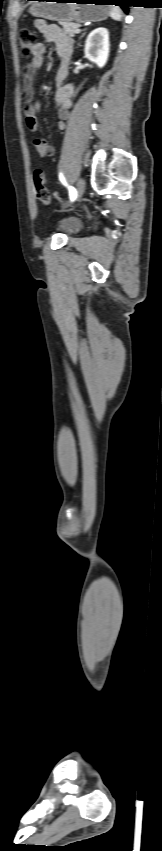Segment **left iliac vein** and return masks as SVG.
<instances>
[{"instance_id": "obj_1", "label": "left iliac vein", "mask_w": 162, "mask_h": 851, "mask_svg": "<svg viewBox=\"0 0 162 851\" xmlns=\"http://www.w3.org/2000/svg\"><path fill=\"white\" fill-rule=\"evenodd\" d=\"M76 191L78 200L83 196L85 192V182L82 178H79L76 183Z\"/></svg>"}]
</instances>
